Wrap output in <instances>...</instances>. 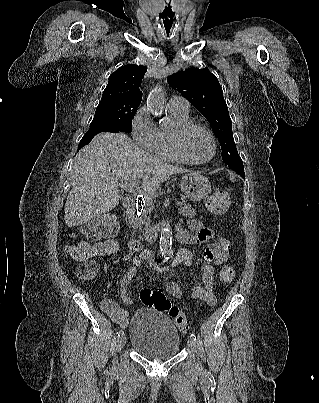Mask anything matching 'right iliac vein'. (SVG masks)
Here are the masks:
<instances>
[{"label": "right iliac vein", "instance_id": "obj_1", "mask_svg": "<svg viewBox=\"0 0 319 403\" xmlns=\"http://www.w3.org/2000/svg\"><path fill=\"white\" fill-rule=\"evenodd\" d=\"M126 343V337L124 334H121L116 341V351H120ZM114 366H116V359L114 360Z\"/></svg>", "mask_w": 319, "mask_h": 403}]
</instances>
